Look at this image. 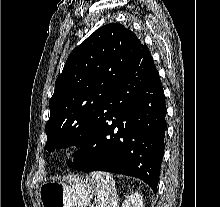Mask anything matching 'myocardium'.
<instances>
[{
  "label": "myocardium",
  "mask_w": 220,
  "mask_h": 207,
  "mask_svg": "<svg viewBox=\"0 0 220 207\" xmlns=\"http://www.w3.org/2000/svg\"><path fill=\"white\" fill-rule=\"evenodd\" d=\"M77 154V148L73 145L65 147L61 152L63 160H71Z\"/></svg>",
  "instance_id": "1"
}]
</instances>
